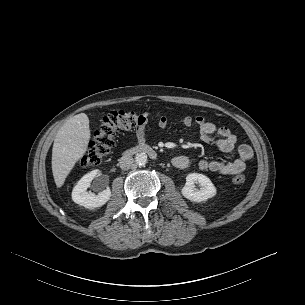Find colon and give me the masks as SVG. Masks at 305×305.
Returning a JSON list of instances; mask_svg holds the SVG:
<instances>
[{
  "label": "colon",
  "mask_w": 305,
  "mask_h": 305,
  "mask_svg": "<svg viewBox=\"0 0 305 305\" xmlns=\"http://www.w3.org/2000/svg\"><path fill=\"white\" fill-rule=\"evenodd\" d=\"M146 114L128 110H118L108 113L102 120L94 134L87 151L81 158L83 167H90L101 163L110 153L115 144V139L120 132L130 130L144 124ZM245 182L243 174L236 175L233 183Z\"/></svg>",
  "instance_id": "colon-1"
}]
</instances>
